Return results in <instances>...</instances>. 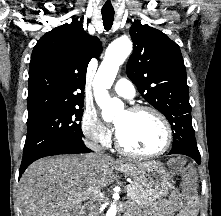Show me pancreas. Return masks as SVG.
Returning a JSON list of instances; mask_svg holds the SVG:
<instances>
[{
	"instance_id": "1",
	"label": "pancreas",
	"mask_w": 221,
	"mask_h": 216,
	"mask_svg": "<svg viewBox=\"0 0 221 216\" xmlns=\"http://www.w3.org/2000/svg\"><path fill=\"white\" fill-rule=\"evenodd\" d=\"M131 189L127 190L130 200L138 205H148L153 203L155 198L147 193L140 185L133 183Z\"/></svg>"
}]
</instances>
